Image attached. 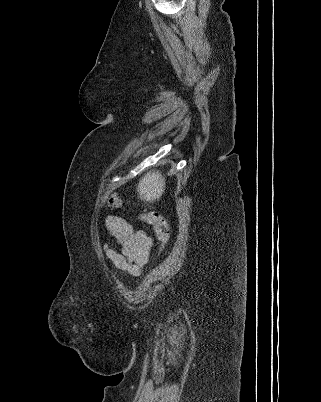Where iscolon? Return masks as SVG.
Listing matches in <instances>:
<instances>
[{
  "instance_id": "colon-1",
  "label": "colon",
  "mask_w": 321,
  "mask_h": 402,
  "mask_svg": "<svg viewBox=\"0 0 321 402\" xmlns=\"http://www.w3.org/2000/svg\"><path fill=\"white\" fill-rule=\"evenodd\" d=\"M108 205L113 208H120L123 206V200L118 196H110ZM140 219L151 225L154 228L156 237L160 243L161 250L163 251L167 246L170 238L169 227L166 220L161 214L155 211H145L140 215Z\"/></svg>"
}]
</instances>
